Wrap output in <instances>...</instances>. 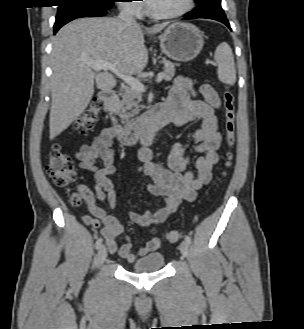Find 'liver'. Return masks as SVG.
<instances>
[{"label":"liver","instance_id":"obj_1","mask_svg":"<svg viewBox=\"0 0 304 329\" xmlns=\"http://www.w3.org/2000/svg\"><path fill=\"white\" fill-rule=\"evenodd\" d=\"M165 27L166 24H158L148 31L158 33ZM86 61L113 63L126 75L141 73L148 63L142 27L101 17L76 19L58 31L51 52V140L83 113L94 94L95 83L102 90L116 86L110 72L95 73Z\"/></svg>","mask_w":304,"mask_h":329}]
</instances>
